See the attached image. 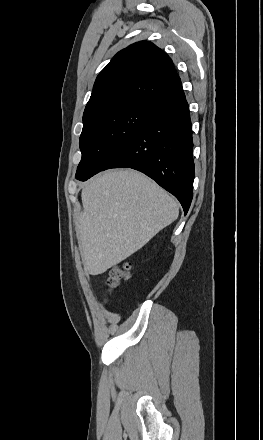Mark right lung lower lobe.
<instances>
[{
    "label": "right lung lower lobe",
    "instance_id": "right-lung-lower-lobe-1",
    "mask_svg": "<svg viewBox=\"0 0 263 440\" xmlns=\"http://www.w3.org/2000/svg\"><path fill=\"white\" fill-rule=\"evenodd\" d=\"M110 168L143 172L173 194L187 213L195 171L192 125L182 87L153 105L141 128L111 156L102 171Z\"/></svg>",
    "mask_w": 263,
    "mask_h": 440
}]
</instances>
